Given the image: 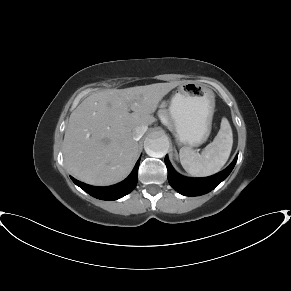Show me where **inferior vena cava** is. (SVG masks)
Segmentation results:
<instances>
[{"label": "inferior vena cava", "mask_w": 291, "mask_h": 291, "mask_svg": "<svg viewBox=\"0 0 291 291\" xmlns=\"http://www.w3.org/2000/svg\"><path fill=\"white\" fill-rule=\"evenodd\" d=\"M146 130H147V127H145V126L136 127L132 132L133 139L136 141L140 140V138L144 135Z\"/></svg>", "instance_id": "inferior-vena-cava-1"}]
</instances>
